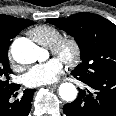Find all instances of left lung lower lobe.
Wrapping results in <instances>:
<instances>
[{
    "instance_id": "1",
    "label": "left lung lower lobe",
    "mask_w": 116,
    "mask_h": 116,
    "mask_svg": "<svg viewBox=\"0 0 116 116\" xmlns=\"http://www.w3.org/2000/svg\"><path fill=\"white\" fill-rule=\"evenodd\" d=\"M72 75L91 88L80 90L74 102L65 104L66 116H116V74L95 79H84Z\"/></svg>"
}]
</instances>
